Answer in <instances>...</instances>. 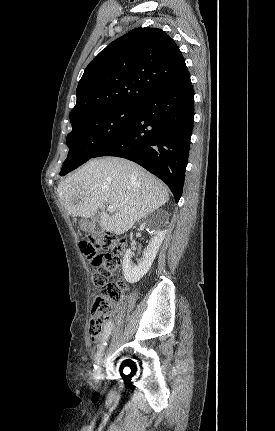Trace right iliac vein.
<instances>
[{
	"mask_svg": "<svg viewBox=\"0 0 275 431\" xmlns=\"http://www.w3.org/2000/svg\"><path fill=\"white\" fill-rule=\"evenodd\" d=\"M103 355H104V353L101 354V356L99 357V359L97 361V368H96V371H95V376L96 377H99L101 375V365H102V362H103Z\"/></svg>",
	"mask_w": 275,
	"mask_h": 431,
	"instance_id": "obj_1",
	"label": "right iliac vein"
}]
</instances>
